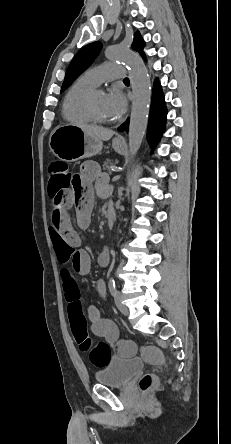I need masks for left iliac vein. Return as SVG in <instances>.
Masks as SVG:
<instances>
[{
  "mask_svg": "<svg viewBox=\"0 0 231 444\" xmlns=\"http://www.w3.org/2000/svg\"><path fill=\"white\" fill-rule=\"evenodd\" d=\"M115 304H116L118 310L124 316H128L129 310H128L127 306L122 302V296H121V293L119 291H116V294H115Z\"/></svg>",
  "mask_w": 231,
  "mask_h": 444,
  "instance_id": "4c4485c4",
  "label": "left iliac vein"
}]
</instances>
